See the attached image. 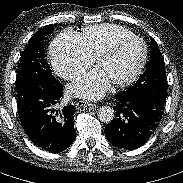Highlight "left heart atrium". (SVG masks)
I'll return each instance as SVG.
<instances>
[{
  "label": "left heart atrium",
  "instance_id": "1",
  "mask_svg": "<svg viewBox=\"0 0 183 183\" xmlns=\"http://www.w3.org/2000/svg\"><path fill=\"white\" fill-rule=\"evenodd\" d=\"M111 82L98 67L92 69L79 81L69 86V92L73 96L86 100L101 98L110 88Z\"/></svg>",
  "mask_w": 183,
  "mask_h": 183
}]
</instances>
